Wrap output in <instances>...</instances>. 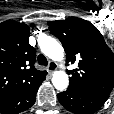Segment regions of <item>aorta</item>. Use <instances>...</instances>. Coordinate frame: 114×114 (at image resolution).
<instances>
[{"mask_svg":"<svg viewBox=\"0 0 114 114\" xmlns=\"http://www.w3.org/2000/svg\"><path fill=\"white\" fill-rule=\"evenodd\" d=\"M39 45L41 51L50 59L54 61L63 60L64 49L56 39L46 36L42 41H40ZM52 84L59 91L65 90L69 84L67 73L64 71H56L52 77Z\"/></svg>","mask_w":114,"mask_h":114,"instance_id":"1","label":"aorta"}]
</instances>
